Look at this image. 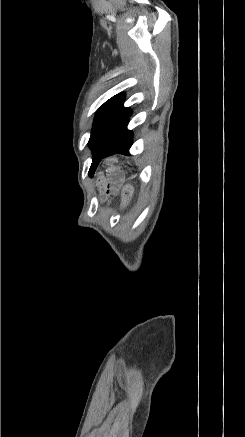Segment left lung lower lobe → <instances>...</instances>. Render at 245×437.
Segmentation results:
<instances>
[{"label":"left lung lower lobe","mask_w":245,"mask_h":437,"mask_svg":"<svg viewBox=\"0 0 245 437\" xmlns=\"http://www.w3.org/2000/svg\"><path fill=\"white\" fill-rule=\"evenodd\" d=\"M131 112L128 111L126 115L118 122L109 137L107 138L105 144L100 150L99 154L95 158L92 164L93 170L97 167L103 158H106L114 154H128L129 149L133 143V133L127 129L129 122V116Z\"/></svg>","instance_id":"0a47b994"}]
</instances>
